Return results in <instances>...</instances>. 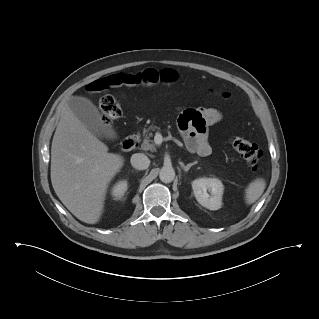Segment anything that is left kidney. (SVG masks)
<instances>
[{
  "instance_id": "1",
  "label": "left kidney",
  "mask_w": 319,
  "mask_h": 319,
  "mask_svg": "<svg viewBox=\"0 0 319 319\" xmlns=\"http://www.w3.org/2000/svg\"><path fill=\"white\" fill-rule=\"evenodd\" d=\"M192 189L196 200L203 207L209 210L221 208L224 191L221 180L217 178H198L192 182Z\"/></svg>"
}]
</instances>
